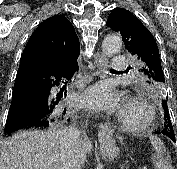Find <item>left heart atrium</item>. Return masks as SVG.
<instances>
[{"label": "left heart atrium", "mask_w": 177, "mask_h": 169, "mask_svg": "<svg viewBox=\"0 0 177 169\" xmlns=\"http://www.w3.org/2000/svg\"><path fill=\"white\" fill-rule=\"evenodd\" d=\"M82 102L95 111H108L120 108V98L106 82H100L89 88Z\"/></svg>", "instance_id": "39dd6f15"}]
</instances>
